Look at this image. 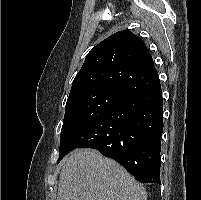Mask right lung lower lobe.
I'll return each mask as SVG.
<instances>
[{
    "label": "right lung lower lobe",
    "mask_w": 201,
    "mask_h": 200,
    "mask_svg": "<svg viewBox=\"0 0 201 200\" xmlns=\"http://www.w3.org/2000/svg\"><path fill=\"white\" fill-rule=\"evenodd\" d=\"M163 100L160 83L127 99L94 121L66 145L97 149L115 159L139 182L161 184Z\"/></svg>",
    "instance_id": "right-lung-lower-lobe-1"
}]
</instances>
